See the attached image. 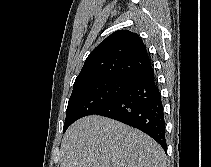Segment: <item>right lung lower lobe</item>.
I'll return each mask as SVG.
<instances>
[{
    "label": "right lung lower lobe",
    "mask_w": 211,
    "mask_h": 167,
    "mask_svg": "<svg viewBox=\"0 0 211 167\" xmlns=\"http://www.w3.org/2000/svg\"><path fill=\"white\" fill-rule=\"evenodd\" d=\"M130 86L94 114L135 127L167 151L165 120L160 90L152 66L128 77Z\"/></svg>",
    "instance_id": "obj_1"
}]
</instances>
